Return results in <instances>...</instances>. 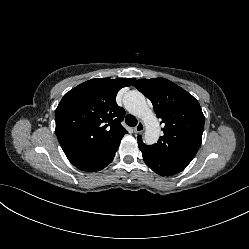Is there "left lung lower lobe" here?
I'll list each match as a JSON object with an SVG mask.
<instances>
[{"label":"left lung lower lobe","mask_w":249,"mask_h":249,"mask_svg":"<svg viewBox=\"0 0 249 249\" xmlns=\"http://www.w3.org/2000/svg\"><path fill=\"white\" fill-rule=\"evenodd\" d=\"M142 151V150H141ZM144 162L157 174L162 176L174 175L181 172L188 164L153 157L142 151Z\"/></svg>","instance_id":"1"}]
</instances>
